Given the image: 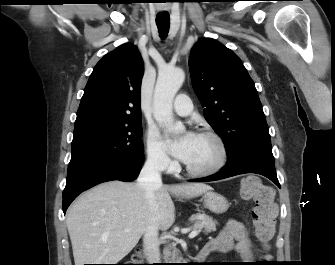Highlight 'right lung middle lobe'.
<instances>
[{
	"label": "right lung middle lobe",
	"mask_w": 335,
	"mask_h": 265,
	"mask_svg": "<svg viewBox=\"0 0 335 265\" xmlns=\"http://www.w3.org/2000/svg\"><path fill=\"white\" fill-rule=\"evenodd\" d=\"M140 120L74 129L68 170L92 162L131 163L143 159Z\"/></svg>",
	"instance_id": "right-lung-middle-lobe-1"
}]
</instances>
